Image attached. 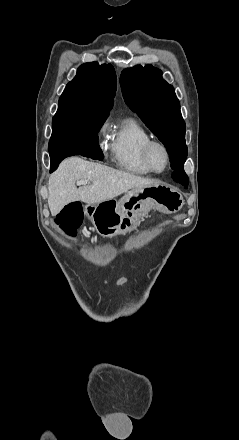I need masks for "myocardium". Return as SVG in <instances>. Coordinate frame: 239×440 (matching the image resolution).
Returning a JSON list of instances; mask_svg holds the SVG:
<instances>
[{"mask_svg": "<svg viewBox=\"0 0 239 440\" xmlns=\"http://www.w3.org/2000/svg\"><path fill=\"white\" fill-rule=\"evenodd\" d=\"M156 147L161 148L164 151L165 156H166V167L162 171L157 170L153 164L152 151ZM143 159H144L146 166L151 171V173H154L157 175L164 174L169 169V167L171 165V154H170L169 148L167 147V145L164 142H162L160 140H156V139H151L144 145Z\"/></svg>", "mask_w": 239, "mask_h": 440, "instance_id": "f54148a6", "label": "myocardium"}]
</instances>
